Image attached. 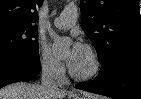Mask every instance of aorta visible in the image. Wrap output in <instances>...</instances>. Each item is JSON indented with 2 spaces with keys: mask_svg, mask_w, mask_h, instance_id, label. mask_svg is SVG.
<instances>
[{
  "mask_svg": "<svg viewBox=\"0 0 141 99\" xmlns=\"http://www.w3.org/2000/svg\"><path fill=\"white\" fill-rule=\"evenodd\" d=\"M50 36L53 40V51L55 53H61L67 49L69 43L67 38L59 37L54 32H50Z\"/></svg>",
  "mask_w": 141,
  "mask_h": 99,
  "instance_id": "obj_1",
  "label": "aorta"
}]
</instances>
